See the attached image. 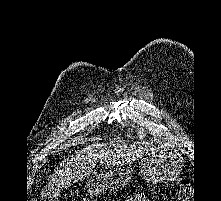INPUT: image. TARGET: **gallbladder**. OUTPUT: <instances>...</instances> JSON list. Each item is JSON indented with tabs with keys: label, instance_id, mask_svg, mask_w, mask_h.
<instances>
[{
	"label": "gallbladder",
	"instance_id": "obj_1",
	"mask_svg": "<svg viewBox=\"0 0 221 201\" xmlns=\"http://www.w3.org/2000/svg\"><path fill=\"white\" fill-rule=\"evenodd\" d=\"M60 196V191H54L53 193H52V198H54V199H56L57 197H59Z\"/></svg>",
	"mask_w": 221,
	"mask_h": 201
}]
</instances>
